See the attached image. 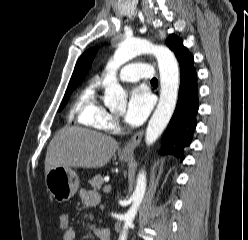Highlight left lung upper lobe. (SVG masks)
I'll return each mask as SVG.
<instances>
[{"instance_id":"left-lung-upper-lobe-1","label":"left lung upper lobe","mask_w":248,"mask_h":240,"mask_svg":"<svg viewBox=\"0 0 248 240\" xmlns=\"http://www.w3.org/2000/svg\"><path fill=\"white\" fill-rule=\"evenodd\" d=\"M165 43L174 52L179 64L191 54L183 45V40L174 34H170Z\"/></svg>"}]
</instances>
